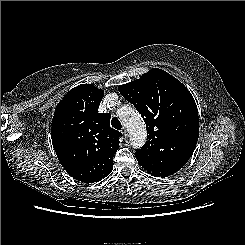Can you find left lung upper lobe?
Wrapping results in <instances>:
<instances>
[{
	"label": "left lung upper lobe",
	"instance_id": "5c2ea615",
	"mask_svg": "<svg viewBox=\"0 0 245 245\" xmlns=\"http://www.w3.org/2000/svg\"><path fill=\"white\" fill-rule=\"evenodd\" d=\"M118 91L146 123L147 142L135 152L139 165L155 177L179 171L191 157L199 136L198 110L191 93L158 68L119 86Z\"/></svg>",
	"mask_w": 245,
	"mask_h": 245
}]
</instances>
